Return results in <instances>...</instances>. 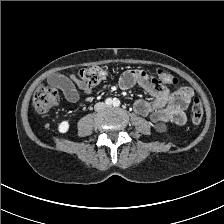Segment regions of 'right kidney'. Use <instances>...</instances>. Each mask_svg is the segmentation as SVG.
Returning <instances> with one entry per match:
<instances>
[{
    "label": "right kidney",
    "instance_id": "1",
    "mask_svg": "<svg viewBox=\"0 0 224 224\" xmlns=\"http://www.w3.org/2000/svg\"><path fill=\"white\" fill-rule=\"evenodd\" d=\"M69 122L67 120L62 121L58 126V131L60 133H66L69 130Z\"/></svg>",
    "mask_w": 224,
    "mask_h": 224
}]
</instances>
